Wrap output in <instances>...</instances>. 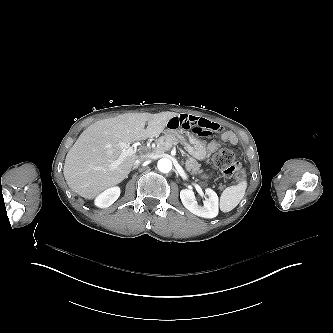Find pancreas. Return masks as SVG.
<instances>
[{
	"mask_svg": "<svg viewBox=\"0 0 333 333\" xmlns=\"http://www.w3.org/2000/svg\"><path fill=\"white\" fill-rule=\"evenodd\" d=\"M179 142L178 138L175 135H164L159 137L156 140V147L153 149L155 154H163L164 152L170 150L172 146L177 145ZM201 164L197 162L193 157L188 156L185 162V168L190 174L195 175L202 173L203 170L200 169ZM223 185L220 184L219 189H222Z\"/></svg>",
	"mask_w": 333,
	"mask_h": 333,
	"instance_id": "obj_1",
	"label": "pancreas"
}]
</instances>
